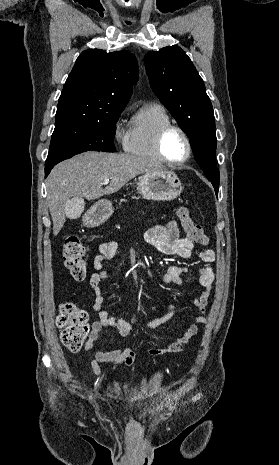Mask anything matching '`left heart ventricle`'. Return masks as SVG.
<instances>
[{"label":"left heart ventricle","mask_w":279,"mask_h":465,"mask_svg":"<svg viewBox=\"0 0 279 465\" xmlns=\"http://www.w3.org/2000/svg\"><path fill=\"white\" fill-rule=\"evenodd\" d=\"M163 150L166 157L172 161H180L187 154V145L183 136L172 130L165 136Z\"/></svg>","instance_id":"left-heart-ventricle-1"}]
</instances>
